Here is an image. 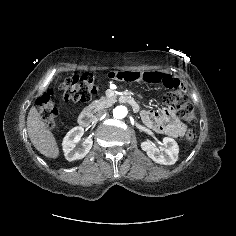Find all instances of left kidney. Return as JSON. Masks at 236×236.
Returning <instances> with one entry per match:
<instances>
[{
  "mask_svg": "<svg viewBox=\"0 0 236 236\" xmlns=\"http://www.w3.org/2000/svg\"><path fill=\"white\" fill-rule=\"evenodd\" d=\"M164 148L158 149L150 141H143L141 148L156 163L163 165H172L178 160L179 146L176 141L170 137L163 138Z\"/></svg>",
  "mask_w": 236,
  "mask_h": 236,
  "instance_id": "1",
  "label": "left kidney"
}]
</instances>
